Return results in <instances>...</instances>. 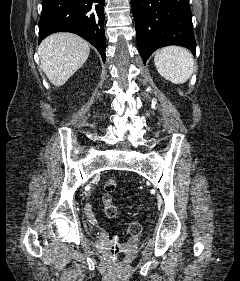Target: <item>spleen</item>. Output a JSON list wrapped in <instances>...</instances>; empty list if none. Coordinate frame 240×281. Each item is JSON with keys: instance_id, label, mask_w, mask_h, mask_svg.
<instances>
[{"instance_id": "1", "label": "spleen", "mask_w": 240, "mask_h": 281, "mask_svg": "<svg viewBox=\"0 0 240 281\" xmlns=\"http://www.w3.org/2000/svg\"><path fill=\"white\" fill-rule=\"evenodd\" d=\"M154 64L158 73L174 84L185 83L194 71L192 54L179 46H167L156 51Z\"/></svg>"}]
</instances>
